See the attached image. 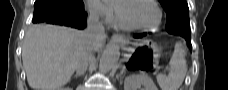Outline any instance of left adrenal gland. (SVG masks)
Masks as SVG:
<instances>
[{
	"label": "left adrenal gland",
	"mask_w": 228,
	"mask_h": 90,
	"mask_svg": "<svg viewBox=\"0 0 228 90\" xmlns=\"http://www.w3.org/2000/svg\"><path fill=\"white\" fill-rule=\"evenodd\" d=\"M124 72H125V69L123 68L120 72V77L123 75Z\"/></svg>",
	"instance_id": "left-adrenal-gland-1"
}]
</instances>
